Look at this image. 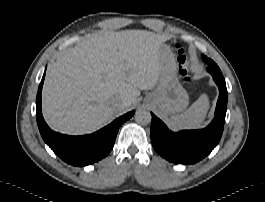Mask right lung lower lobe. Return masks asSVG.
<instances>
[{"mask_svg":"<svg viewBox=\"0 0 265 202\" xmlns=\"http://www.w3.org/2000/svg\"><path fill=\"white\" fill-rule=\"evenodd\" d=\"M44 77L38 88L36 98L37 124L43 140L65 162L74 166H86L107 156L114 146L120 126L131 118L129 112L101 130L85 136H67L53 132L45 123L41 112V90Z\"/></svg>","mask_w":265,"mask_h":202,"instance_id":"98d812e1","label":"right lung lower lobe"}]
</instances>
